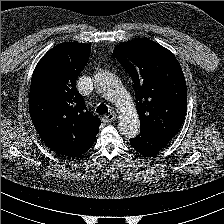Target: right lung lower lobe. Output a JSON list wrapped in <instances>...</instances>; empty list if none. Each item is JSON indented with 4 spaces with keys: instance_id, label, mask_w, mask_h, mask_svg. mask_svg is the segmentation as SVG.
Here are the masks:
<instances>
[{
    "instance_id": "obj_1",
    "label": "right lung lower lobe",
    "mask_w": 224,
    "mask_h": 224,
    "mask_svg": "<svg viewBox=\"0 0 224 224\" xmlns=\"http://www.w3.org/2000/svg\"><path fill=\"white\" fill-rule=\"evenodd\" d=\"M93 143H94V142H93ZM92 146H93V144L89 147V149H90ZM89 149H88V150H89ZM83 153H85V152H83ZM83 153H81V154H83ZM81 154H80V155H81Z\"/></svg>"
}]
</instances>
